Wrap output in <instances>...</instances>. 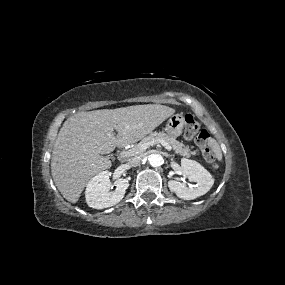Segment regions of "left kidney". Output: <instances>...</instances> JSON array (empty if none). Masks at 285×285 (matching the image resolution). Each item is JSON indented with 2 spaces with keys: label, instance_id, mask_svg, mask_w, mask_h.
<instances>
[{
  "label": "left kidney",
  "instance_id": "5707ae66",
  "mask_svg": "<svg viewBox=\"0 0 285 285\" xmlns=\"http://www.w3.org/2000/svg\"><path fill=\"white\" fill-rule=\"evenodd\" d=\"M181 169L189 181L197 183L195 186L188 188L185 183L176 180L168 181L170 191L174 192L181 199L192 200L202 196L206 194L214 184L212 175L194 160L182 159Z\"/></svg>",
  "mask_w": 285,
  "mask_h": 285
}]
</instances>
